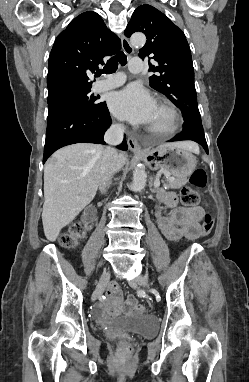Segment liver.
I'll list each match as a JSON object with an SVG mask.
<instances>
[{
	"mask_svg": "<svg viewBox=\"0 0 249 382\" xmlns=\"http://www.w3.org/2000/svg\"><path fill=\"white\" fill-rule=\"evenodd\" d=\"M189 151L199 153L192 142H178ZM105 149L91 143H77L56 151L44 167V205L42 223L46 238L54 242L61 229L93 200L96 195ZM120 168L126 155L118 154Z\"/></svg>",
	"mask_w": 249,
	"mask_h": 382,
	"instance_id": "6515ba94",
	"label": "liver"
}]
</instances>
